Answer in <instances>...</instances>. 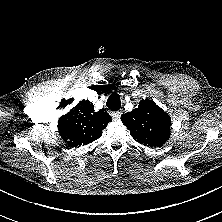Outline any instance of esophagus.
Listing matches in <instances>:
<instances>
[{
	"instance_id": "obj_1",
	"label": "esophagus",
	"mask_w": 222,
	"mask_h": 222,
	"mask_svg": "<svg viewBox=\"0 0 222 222\" xmlns=\"http://www.w3.org/2000/svg\"><path fill=\"white\" fill-rule=\"evenodd\" d=\"M121 114L122 113L120 111H114V112H112V117L114 120H119L121 117Z\"/></svg>"
}]
</instances>
